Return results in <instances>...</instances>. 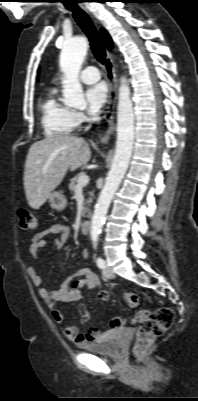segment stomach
<instances>
[{"label": "stomach", "instance_id": "stomach-1", "mask_svg": "<svg viewBox=\"0 0 198 401\" xmlns=\"http://www.w3.org/2000/svg\"><path fill=\"white\" fill-rule=\"evenodd\" d=\"M48 202L50 206L57 211L64 210L67 204L66 197L59 191L52 192L48 197Z\"/></svg>", "mask_w": 198, "mask_h": 401}]
</instances>
